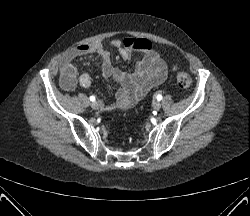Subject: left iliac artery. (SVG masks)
Returning <instances> with one entry per match:
<instances>
[{
	"label": "left iliac artery",
	"mask_w": 250,
	"mask_h": 216,
	"mask_svg": "<svg viewBox=\"0 0 250 216\" xmlns=\"http://www.w3.org/2000/svg\"><path fill=\"white\" fill-rule=\"evenodd\" d=\"M156 98H157L158 101H160V100H162V95L159 94V95H157Z\"/></svg>",
	"instance_id": "44dca946"
}]
</instances>
